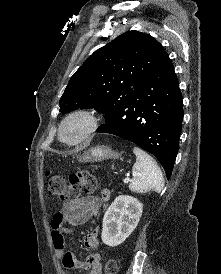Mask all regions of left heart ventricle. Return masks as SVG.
<instances>
[{"instance_id":"obj_1","label":"left heart ventricle","mask_w":221,"mask_h":274,"mask_svg":"<svg viewBox=\"0 0 221 274\" xmlns=\"http://www.w3.org/2000/svg\"><path fill=\"white\" fill-rule=\"evenodd\" d=\"M82 125L80 123H72L70 124L65 131V137L68 139L74 138L81 130Z\"/></svg>"}]
</instances>
